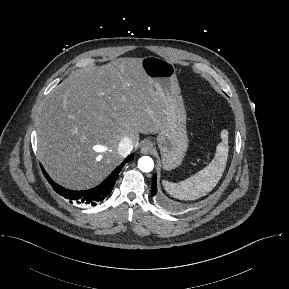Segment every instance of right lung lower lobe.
<instances>
[{
  "instance_id": "1",
  "label": "right lung lower lobe",
  "mask_w": 289,
  "mask_h": 289,
  "mask_svg": "<svg viewBox=\"0 0 289 289\" xmlns=\"http://www.w3.org/2000/svg\"><path fill=\"white\" fill-rule=\"evenodd\" d=\"M134 154L129 155L101 184L96 186L95 188L82 190V191H72L68 190L57 183H55L49 175L46 173L44 168L41 166L42 172L45 175L46 179L52 185L53 189L64 198L68 199L70 203H84L96 205L99 202L103 201L106 196L111 192L114 188L115 182L118 179L119 173L124 167V165L133 160Z\"/></svg>"
}]
</instances>
